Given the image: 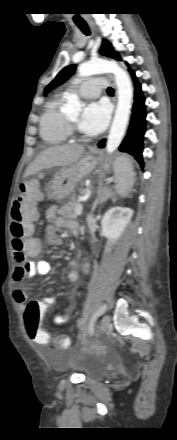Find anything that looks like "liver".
I'll return each mask as SVG.
<instances>
[{
  "label": "liver",
  "instance_id": "1",
  "mask_svg": "<svg viewBox=\"0 0 177 440\" xmlns=\"http://www.w3.org/2000/svg\"><path fill=\"white\" fill-rule=\"evenodd\" d=\"M84 152L85 147L79 144L60 145L45 149L27 167L24 177L33 175L42 169L72 165L82 157ZM118 167L119 164L116 162L115 171H118Z\"/></svg>",
  "mask_w": 177,
  "mask_h": 440
}]
</instances>
